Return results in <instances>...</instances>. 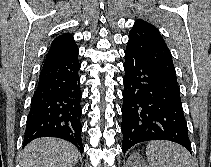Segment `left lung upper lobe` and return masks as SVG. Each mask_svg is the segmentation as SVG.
<instances>
[{
  "label": "left lung upper lobe",
  "instance_id": "1",
  "mask_svg": "<svg viewBox=\"0 0 211 167\" xmlns=\"http://www.w3.org/2000/svg\"><path fill=\"white\" fill-rule=\"evenodd\" d=\"M125 51L143 57L168 78L177 82L170 50L158 29L152 24L137 19L129 32Z\"/></svg>",
  "mask_w": 211,
  "mask_h": 167
}]
</instances>
